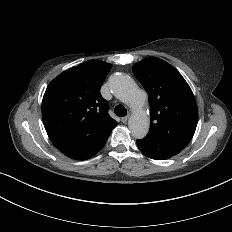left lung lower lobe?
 Instances as JSON below:
<instances>
[{
  "label": "left lung lower lobe",
  "mask_w": 232,
  "mask_h": 232,
  "mask_svg": "<svg viewBox=\"0 0 232 232\" xmlns=\"http://www.w3.org/2000/svg\"><path fill=\"white\" fill-rule=\"evenodd\" d=\"M136 143L144 155L155 160L168 159L183 150L174 145L149 136H146L141 140H137Z\"/></svg>",
  "instance_id": "obj_1"
}]
</instances>
